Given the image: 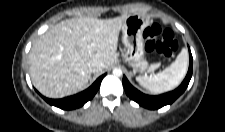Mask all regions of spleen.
<instances>
[{
  "label": "spleen",
  "instance_id": "spleen-1",
  "mask_svg": "<svg viewBox=\"0 0 225 132\" xmlns=\"http://www.w3.org/2000/svg\"><path fill=\"white\" fill-rule=\"evenodd\" d=\"M188 69V51L183 48L176 60L165 70L153 76H138L137 82L152 93H164L176 88Z\"/></svg>",
  "mask_w": 225,
  "mask_h": 132
}]
</instances>
